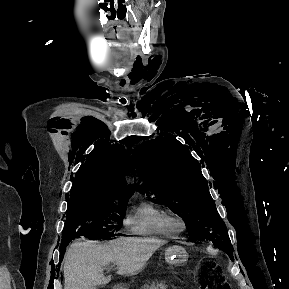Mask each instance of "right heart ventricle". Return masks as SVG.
I'll use <instances>...</instances> for the list:
<instances>
[{
    "label": "right heart ventricle",
    "mask_w": 289,
    "mask_h": 289,
    "mask_svg": "<svg viewBox=\"0 0 289 289\" xmlns=\"http://www.w3.org/2000/svg\"><path fill=\"white\" fill-rule=\"evenodd\" d=\"M170 214L150 199L143 198L127 210L124 224L136 235L175 237L179 232L171 226Z\"/></svg>",
    "instance_id": "e07e8e85"
}]
</instances>
